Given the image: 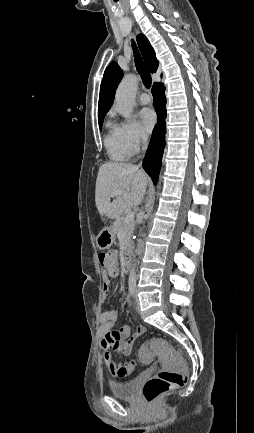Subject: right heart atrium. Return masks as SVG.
I'll return each mask as SVG.
<instances>
[{
  "mask_svg": "<svg viewBox=\"0 0 254 433\" xmlns=\"http://www.w3.org/2000/svg\"><path fill=\"white\" fill-rule=\"evenodd\" d=\"M118 129L129 155L138 153L147 141V136L142 131L139 124L134 120L119 124Z\"/></svg>",
  "mask_w": 254,
  "mask_h": 433,
  "instance_id": "obj_1",
  "label": "right heart atrium"
}]
</instances>
